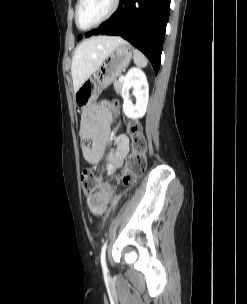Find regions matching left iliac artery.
Segmentation results:
<instances>
[{"instance_id": "left-iliac-artery-1", "label": "left iliac artery", "mask_w": 247, "mask_h": 304, "mask_svg": "<svg viewBox=\"0 0 247 304\" xmlns=\"http://www.w3.org/2000/svg\"><path fill=\"white\" fill-rule=\"evenodd\" d=\"M106 248H107V241L104 243L102 249H101V255H100V260H101V266L104 272L107 271V266H106Z\"/></svg>"}]
</instances>
